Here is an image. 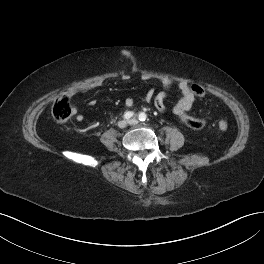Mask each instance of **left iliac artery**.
I'll return each instance as SVG.
<instances>
[{"mask_svg":"<svg viewBox=\"0 0 264 264\" xmlns=\"http://www.w3.org/2000/svg\"><path fill=\"white\" fill-rule=\"evenodd\" d=\"M138 118H139L140 121H145L146 118H147V116H146L145 113L141 112V113L139 114Z\"/></svg>","mask_w":264,"mask_h":264,"instance_id":"1","label":"left iliac artery"}]
</instances>
